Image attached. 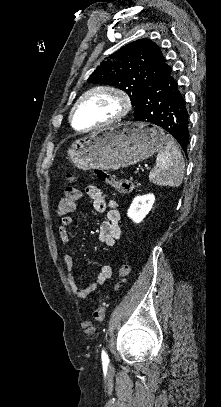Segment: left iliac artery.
<instances>
[{
  "label": "left iliac artery",
  "mask_w": 221,
  "mask_h": 407,
  "mask_svg": "<svg viewBox=\"0 0 221 407\" xmlns=\"http://www.w3.org/2000/svg\"><path fill=\"white\" fill-rule=\"evenodd\" d=\"M101 357H102V361H103V362H109L108 355L105 353L104 350L102 351Z\"/></svg>",
  "instance_id": "1"
}]
</instances>
